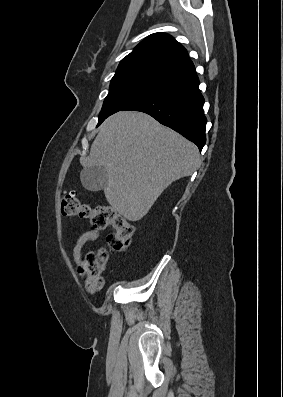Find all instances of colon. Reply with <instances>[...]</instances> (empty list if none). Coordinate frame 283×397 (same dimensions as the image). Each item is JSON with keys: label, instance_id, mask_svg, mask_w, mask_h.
I'll return each mask as SVG.
<instances>
[{"label": "colon", "instance_id": "5ec220e1", "mask_svg": "<svg viewBox=\"0 0 283 397\" xmlns=\"http://www.w3.org/2000/svg\"><path fill=\"white\" fill-rule=\"evenodd\" d=\"M61 213L66 216H79L88 219L95 228L113 227V233L107 237V248L97 252H89L81 265L80 273L86 278V288L91 293L103 287L101 268L108 259L110 252L125 250L131 243L134 233L133 225L112 206L100 205L92 207L82 202L74 193H65L61 200Z\"/></svg>", "mask_w": 283, "mask_h": 397}]
</instances>
